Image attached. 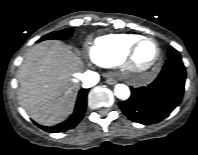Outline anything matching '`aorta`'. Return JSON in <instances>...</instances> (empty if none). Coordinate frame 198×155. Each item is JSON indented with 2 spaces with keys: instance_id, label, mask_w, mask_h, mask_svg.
Listing matches in <instances>:
<instances>
[{
  "instance_id": "aorta-1",
  "label": "aorta",
  "mask_w": 198,
  "mask_h": 155,
  "mask_svg": "<svg viewBox=\"0 0 198 155\" xmlns=\"http://www.w3.org/2000/svg\"><path fill=\"white\" fill-rule=\"evenodd\" d=\"M114 93L121 100H127L130 97V89L124 84L115 85Z\"/></svg>"
}]
</instances>
